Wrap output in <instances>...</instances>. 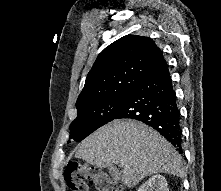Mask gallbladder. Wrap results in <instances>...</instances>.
I'll return each instance as SVG.
<instances>
[{"instance_id": "1", "label": "gallbladder", "mask_w": 221, "mask_h": 191, "mask_svg": "<svg viewBox=\"0 0 221 191\" xmlns=\"http://www.w3.org/2000/svg\"><path fill=\"white\" fill-rule=\"evenodd\" d=\"M109 173L114 176V177H117L119 176V172L117 170V168L113 167V166H110L109 168Z\"/></svg>"}]
</instances>
